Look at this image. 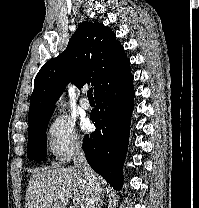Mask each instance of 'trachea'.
Wrapping results in <instances>:
<instances>
[{
	"instance_id": "1",
	"label": "trachea",
	"mask_w": 199,
	"mask_h": 208,
	"mask_svg": "<svg viewBox=\"0 0 199 208\" xmlns=\"http://www.w3.org/2000/svg\"><path fill=\"white\" fill-rule=\"evenodd\" d=\"M87 96H88V98H89V99H94V97H93V90H92V88H90V89L88 90V92H87Z\"/></svg>"
}]
</instances>
